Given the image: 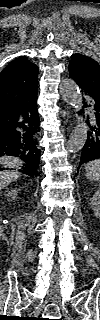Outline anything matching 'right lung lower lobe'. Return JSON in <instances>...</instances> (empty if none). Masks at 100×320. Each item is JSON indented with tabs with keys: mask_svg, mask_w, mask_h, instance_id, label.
<instances>
[{
	"mask_svg": "<svg viewBox=\"0 0 100 320\" xmlns=\"http://www.w3.org/2000/svg\"><path fill=\"white\" fill-rule=\"evenodd\" d=\"M37 91L14 104L0 107V156H16L26 164L21 172L36 176L41 151Z\"/></svg>",
	"mask_w": 100,
	"mask_h": 320,
	"instance_id": "98d812e1",
	"label": "right lung lower lobe"
}]
</instances>
